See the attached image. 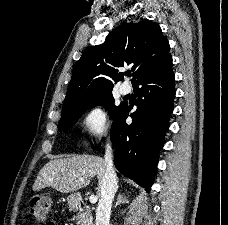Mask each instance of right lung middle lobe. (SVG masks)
<instances>
[{
  "mask_svg": "<svg viewBox=\"0 0 228 225\" xmlns=\"http://www.w3.org/2000/svg\"><path fill=\"white\" fill-rule=\"evenodd\" d=\"M99 104H103L107 111L110 110L109 114L112 119L116 117L118 112L123 107V104H120L119 106L113 105L114 98L111 92L100 94L90 99L65 106L62 109V117L58 124L59 131H67L79 119L82 113Z\"/></svg>",
  "mask_w": 228,
  "mask_h": 225,
  "instance_id": "dd1d6c3e",
  "label": "right lung middle lobe"
}]
</instances>
